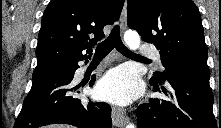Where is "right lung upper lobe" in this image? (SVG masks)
Returning <instances> with one entry per match:
<instances>
[{"label":"right lung upper lobe","instance_id":"cb5924a9","mask_svg":"<svg viewBox=\"0 0 221 128\" xmlns=\"http://www.w3.org/2000/svg\"><path fill=\"white\" fill-rule=\"evenodd\" d=\"M124 0H52L44 11L36 47L33 77L64 68L92 55L105 37V25L115 22ZM86 54L83 55V52Z\"/></svg>","mask_w":221,"mask_h":128}]
</instances>
